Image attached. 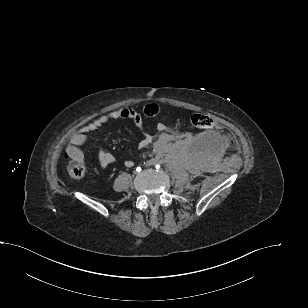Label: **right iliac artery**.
<instances>
[{
  "label": "right iliac artery",
  "mask_w": 308,
  "mask_h": 308,
  "mask_svg": "<svg viewBox=\"0 0 308 308\" xmlns=\"http://www.w3.org/2000/svg\"><path fill=\"white\" fill-rule=\"evenodd\" d=\"M136 171L140 172L141 171V167H137Z\"/></svg>",
  "instance_id": "obj_1"
}]
</instances>
